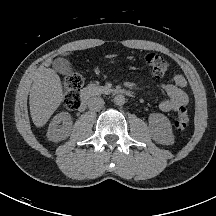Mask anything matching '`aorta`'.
<instances>
[{
    "instance_id": "1",
    "label": "aorta",
    "mask_w": 216,
    "mask_h": 216,
    "mask_svg": "<svg viewBox=\"0 0 216 216\" xmlns=\"http://www.w3.org/2000/svg\"><path fill=\"white\" fill-rule=\"evenodd\" d=\"M114 103H115L116 105H118V106L124 105V104H125V97H124L123 95H121V94L116 95V96L114 97Z\"/></svg>"
}]
</instances>
